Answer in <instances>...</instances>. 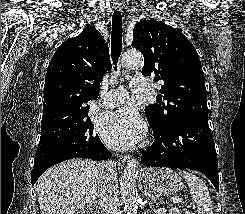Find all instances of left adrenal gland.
Masks as SVG:
<instances>
[{"label": "left adrenal gland", "instance_id": "obj_1", "mask_svg": "<svg viewBox=\"0 0 245 214\" xmlns=\"http://www.w3.org/2000/svg\"><path fill=\"white\" fill-rule=\"evenodd\" d=\"M143 193H144V197H146V198L149 197L154 203H156L157 199L153 195V193L151 191H149L148 187H145Z\"/></svg>", "mask_w": 245, "mask_h": 214}]
</instances>
